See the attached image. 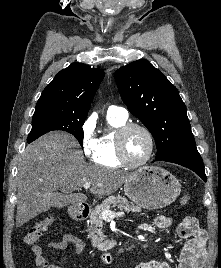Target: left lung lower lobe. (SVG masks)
<instances>
[{
	"instance_id": "0a47b994",
	"label": "left lung lower lobe",
	"mask_w": 221,
	"mask_h": 268,
	"mask_svg": "<svg viewBox=\"0 0 221 268\" xmlns=\"http://www.w3.org/2000/svg\"><path fill=\"white\" fill-rule=\"evenodd\" d=\"M163 161L172 162L187 167L199 175L204 181H206L203 161L197 151L196 146L181 149Z\"/></svg>"
}]
</instances>
